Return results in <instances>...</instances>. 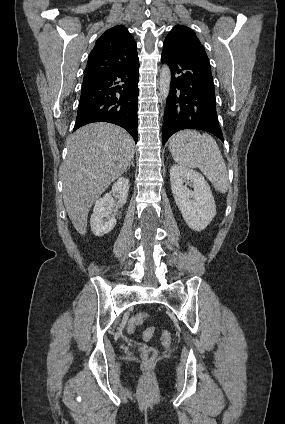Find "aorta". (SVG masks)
Instances as JSON below:
<instances>
[{"mask_svg":"<svg viewBox=\"0 0 285 424\" xmlns=\"http://www.w3.org/2000/svg\"><path fill=\"white\" fill-rule=\"evenodd\" d=\"M171 71L167 64H164L160 71L159 91L161 100L166 101L170 92Z\"/></svg>","mask_w":285,"mask_h":424,"instance_id":"1","label":"aorta"}]
</instances>
